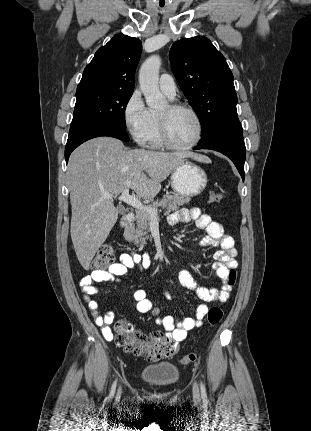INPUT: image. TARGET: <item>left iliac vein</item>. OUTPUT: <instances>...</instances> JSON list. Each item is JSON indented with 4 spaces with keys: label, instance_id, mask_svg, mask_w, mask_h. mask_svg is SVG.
<instances>
[{
    "label": "left iliac vein",
    "instance_id": "left-iliac-vein-1",
    "mask_svg": "<svg viewBox=\"0 0 311 431\" xmlns=\"http://www.w3.org/2000/svg\"><path fill=\"white\" fill-rule=\"evenodd\" d=\"M193 395L196 399H199V390L196 384L193 386Z\"/></svg>",
    "mask_w": 311,
    "mask_h": 431
}]
</instances>
